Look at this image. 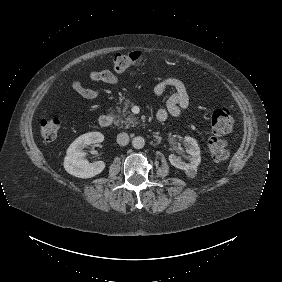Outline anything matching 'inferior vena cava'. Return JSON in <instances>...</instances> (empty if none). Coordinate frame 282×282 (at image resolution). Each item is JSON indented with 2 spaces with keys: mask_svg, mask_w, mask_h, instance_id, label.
I'll use <instances>...</instances> for the list:
<instances>
[{
  "mask_svg": "<svg viewBox=\"0 0 282 282\" xmlns=\"http://www.w3.org/2000/svg\"><path fill=\"white\" fill-rule=\"evenodd\" d=\"M117 143L120 146H126L129 143V135L125 132L119 133L117 135Z\"/></svg>",
  "mask_w": 282,
  "mask_h": 282,
  "instance_id": "obj_1",
  "label": "inferior vena cava"
}]
</instances>
